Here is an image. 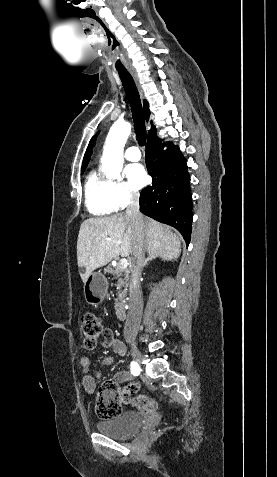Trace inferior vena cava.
Returning a JSON list of instances; mask_svg holds the SVG:
<instances>
[{"label": "inferior vena cava", "instance_id": "1", "mask_svg": "<svg viewBox=\"0 0 277 477\" xmlns=\"http://www.w3.org/2000/svg\"><path fill=\"white\" fill-rule=\"evenodd\" d=\"M126 215L131 219L133 229V252L130 281L129 312L124 327L126 340H134L140 326L142 315V298L140 278L144 266L145 257V227L143 216L139 210V194L132 192L126 209Z\"/></svg>", "mask_w": 277, "mask_h": 477}]
</instances>
